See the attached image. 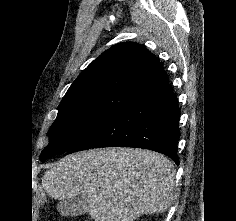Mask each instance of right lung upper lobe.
I'll list each match as a JSON object with an SVG mask.
<instances>
[{
  "label": "right lung upper lobe",
  "mask_w": 236,
  "mask_h": 221,
  "mask_svg": "<svg viewBox=\"0 0 236 221\" xmlns=\"http://www.w3.org/2000/svg\"><path fill=\"white\" fill-rule=\"evenodd\" d=\"M165 75L162 64L144 46L135 42L116 44L80 73L60 104L98 91L137 92Z\"/></svg>",
  "instance_id": "1"
}]
</instances>
